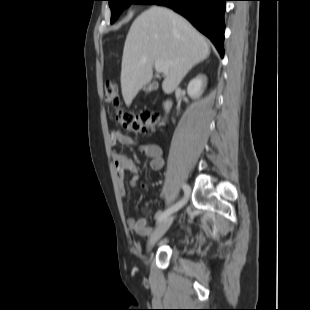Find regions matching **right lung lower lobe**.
Masks as SVG:
<instances>
[{
    "mask_svg": "<svg viewBox=\"0 0 310 310\" xmlns=\"http://www.w3.org/2000/svg\"><path fill=\"white\" fill-rule=\"evenodd\" d=\"M228 0H154L152 4L167 6L188 19L224 55V14Z\"/></svg>",
    "mask_w": 310,
    "mask_h": 310,
    "instance_id": "right-lung-lower-lobe-1",
    "label": "right lung lower lobe"
}]
</instances>
